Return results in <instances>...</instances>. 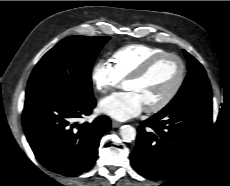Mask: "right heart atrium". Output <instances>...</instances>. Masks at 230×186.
<instances>
[{"instance_id":"right-heart-atrium-1","label":"right heart atrium","mask_w":230,"mask_h":186,"mask_svg":"<svg viewBox=\"0 0 230 186\" xmlns=\"http://www.w3.org/2000/svg\"><path fill=\"white\" fill-rule=\"evenodd\" d=\"M91 80L95 89L101 94H107L120 83L112 64L104 59L94 64L91 71Z\"/></svg>"}]
</instances>
